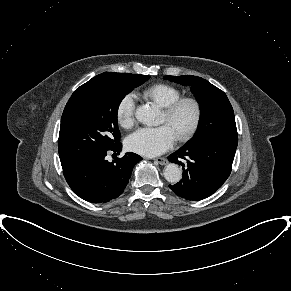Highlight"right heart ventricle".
Masks as SVG:
<instances>
[{"mask_svg": "<svg viewBox=\"0 0 291 291\" xmlns=\"http://www.w3.org/2000/svg\"><path fill=\"white\" fill-rule=\"evenodd\" d=\"M142 94L162 108L169 106L182 95L180 89L166 83L154 84L146 88Z\"/></svg>", "mask_w": 291, "mask_h": 291, "instance_id": "1", "label": "right heart ventricle"}]
</instances>
